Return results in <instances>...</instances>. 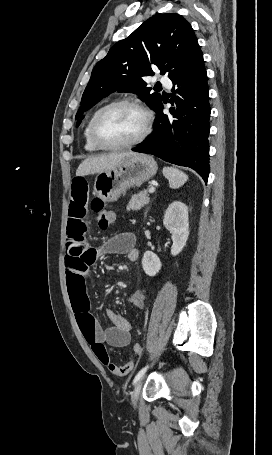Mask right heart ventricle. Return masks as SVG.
Masks as SVG:
<instances>
[{
  "mask_svg": "<svg viewBox=\"0 0 272 455\" xmlns=\"http://www.w3.org/2000/svg\"><path fill=\"white\" fill-rule=\"evenodd\" d=\"M91 118L86 124L85 130H84V137H85V148L89 152H98L100 149H98L91 141L90 135H89V124H90Z\"/></svg>",
  "mask_w": 272,
  "mask_h": 455,
  "instance_id": "right-heart-ventricle-1",
  "label": "right heart ventricle"
}]
</instances>
